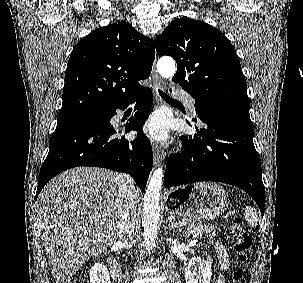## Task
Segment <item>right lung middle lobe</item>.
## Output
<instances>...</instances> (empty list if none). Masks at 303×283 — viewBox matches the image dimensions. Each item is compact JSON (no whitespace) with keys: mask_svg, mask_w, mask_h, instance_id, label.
Instances as JSON below:
<instances>
[{"mask_svg":"<svg viewBox=\"0 0 303 283\" xmlns=\"http://www.w3.org/2000/svg\"><path fill=\"white\" fill-rule=\"evenodd\" d=\"M108 119L106 111H92L75 115L58 117L57 127L70 124H101Z\"/></svg>","mask_w":303,"mask_h":283,"instance_id":"right-lung-middle-lobe-1","label":"right lung middle lobe"}]
</instances>
